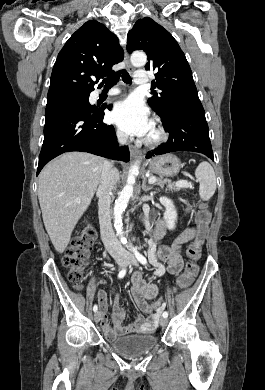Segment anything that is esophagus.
<instances>
[{
	"mask_svg": "<svg viewBox=\"0 0 265 390\" xmlns=\"http://www.w3.org/2000/svg\"><path fill=\"white\" fill-rule=\"evenodd\" d=\"M124 62L126 64V68L128 72L132 73L134 71V68L132 67L130 60H129V55L127 51L125 50V57H124ZM130 154L133 158L137 157L139 154V149L133 145L130 146Z\"/></svg>",
	"mask_w": 265,
	"mask_h": 390,
	"instance_id": "1",
	"label": "esophagus"
}]
</instances>
